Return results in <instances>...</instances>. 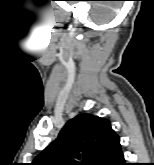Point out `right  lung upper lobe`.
Instances as JSON below:
<instances>
[{
  "label": "right lung upper lobe",
  "mask_w": 154,
  "mask_h": 165,
  "mask_svg": "<svg viewBox=\"0 0 154 165\" xmlns=\"http://www.w3.org/2000/svg\"><path fill=\"white\" fill-rule=\"evenodd\" d=\"M115 135L108 120L80 114L65 124L32 165H95Z\"/></svg>",
  "instance_id": "1"
}]
</instances>
